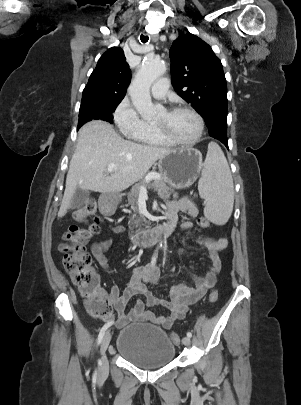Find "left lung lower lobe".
I'll list each match as a JSON object with an SVG mask.
<instances>
[{
  "instance_id": "left-lung-lower-lobe-1",
  "label": "left lung lower lobe",
  "mask_w": 301,
  "mask_h": 405,
  "mask_svg": "<svg viewBox=\"0 0 301 405\" xmlns=\"http://www.w3.org/2000/svg\"><path fill=\"white\" fill-rule=\"evenodd\" d=\"M216 139V138H215ZM219 141H221L227 148H228V140L227 137H223V136H218L217 138Z\"/></svg>"
}]
</instances>
